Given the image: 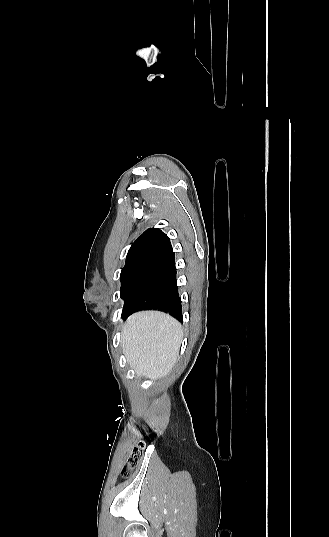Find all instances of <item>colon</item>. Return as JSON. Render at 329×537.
<instances>
[{
    "mask_svg": "<svg viewBox=\"0 0 329 537\" xmlns=\"http://www.w3.org/2000/svg\"><path fill=\"white\" fill-rule=\"evenodd\" d=\"M144 444L143 442L137 443L129 452L128 458L120 471V476L127 479L131 476L134 468L140 462L143 455Z\"/></svg>",
    "mask_w": 329,
    "mask_h": 537,
    "instance_id": "obj_1",
    "label": "colon"
}]
</instances>
